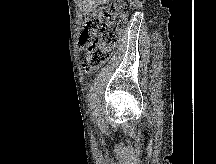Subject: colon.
<instances>
[{
	"mask_svg": "<svg viewBox=\"0 0 216 164\" xmlns=\"http://www.w3.org/2000/svg\"><path fill=\"white\" fill-rule=\"evenodd\" d=\"M125 4H109L87 18L81 30L79 44L87 49L86 70L91 72L103 65L118 45L126 24Z\"/></svg>",
	"mask_w": 216,
	"mask_h": 164,
	"instance_id": "1",
	"label": "colon"
}]
</instances>
